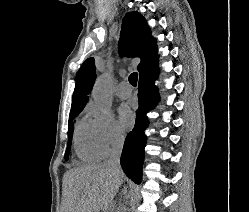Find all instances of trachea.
I'll use <instances>...</instances> for the list:
<instances>
[{
	"label": "trachea",
	"mask_w": 249,
	"mask_h": 212,
	"mask_svg": "<svg viewBox=\"0 0 249 212\" xmlns=\"http://www.w3.org/2000/svg\"><path fill=\"white\" fill-rule=\"evenodd\" d=\"M137 80H138L137 72L131 73V75L129 76V82L131 85H133V87H136Z\"/></svg>",
	"instance_id": "trachea-1"
}]
</instances>
